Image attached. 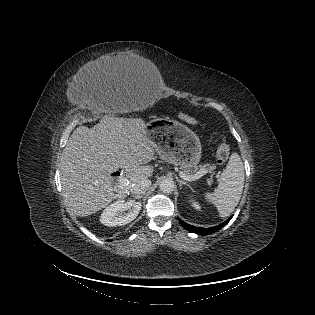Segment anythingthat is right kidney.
I'll use <instances>...</instances> for the list:
<instances>
[{
  "label": "right kidney",
  "instance_id": "ca27d5eb",
  "mask_svg": "<svg viewBox=\"0 0 315 315\" xmlns=\"http://www.w3.org/2000/svg\"><path fill=\"white\" fill-rule=\"evenodd\" d=\"M141 206L140 202L134 200H117L104 209L100 222L109 227L126 225L138 216Z\"/></svg>",
  "mask_w": 315,
  "mask_h": 315
}]
</instances>
